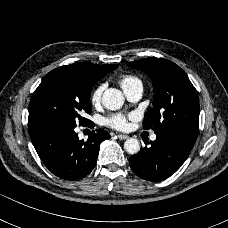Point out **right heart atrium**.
Instances as JSON below:
<instances>
[{"label": "right heart atrium", "mask_w": 228, "mask_h": 228, "mask_svg": "<svg viewBox=\"0 0 228 228\" xmlns=\"http://www.w3.org/2000/svg\"><path fill=\"white\" fill-rule=\"evenodd\" d=\"M105 87H106V83L102 82L93 89L90 95V101L92 104L96 105L101 101L102 93Z\"/></svg>", "instance_id": "d8ad5b80"}]
</instances>
